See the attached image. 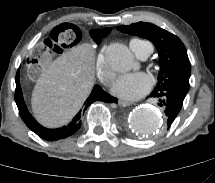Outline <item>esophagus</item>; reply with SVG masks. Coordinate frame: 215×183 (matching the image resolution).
Masks as SVG:
<instances>
[{
  "label": "esophagus",
  "mask_w": 215,
  "mask_h": 183,
  "mask_svg": "<svg viewBox=\"0 0 215 183\" xmlns=\"http://www.w3.org/2000/svg\"><path fill=\"white\" fill-rule=\"evenodd\" d=\"M118 103H119L120 106H124V107L130 106V105L133 104V102L125 101V100H119Z\"/></svg>",
  "instance_id": "34e87169"
}]
</instances>
